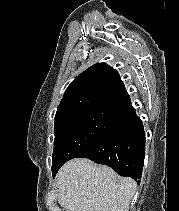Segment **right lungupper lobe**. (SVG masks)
I'll list each match as a JSON object with an SVG mask.
<instances>
[{
	"mask_svg": "<svg viewBox=\"0 0 179 211\" xmlns=\"http://www.w3.org/2000/svg\"><path fill=\"white\" fill-rule=\"evenodd\" d=\"M130 97L118 72L105 63H97L78 75L66 89L55 120L87 110L121 112Z\"/></svg>",
	"mask_w": 179,
	"mask_h": 211,
	"instance_id": "obj_1",
	"label": "right lung upper lobe"
}]
</instances>
